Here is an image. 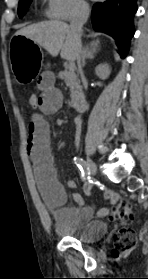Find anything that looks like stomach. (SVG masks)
<instances>
[{
    "label": "stomach",
    "mask_w": 148,
    "mask_h": 279,
    "mask_svg": "<svg viewBox=\"0 0 148 279\" xmlns=\"http://www.w3.org/2000/svg\"><path fill=\"white\" fill-rule=\"evenodd\" d=\"M11 47L12 54H9V59L16 80L20 83L30 82L39 75V69H42L44 63L41 47L24 34H15Z\"/></svg>",
    "instance_id": "1"
}]
</instances>
